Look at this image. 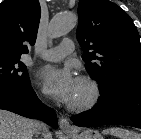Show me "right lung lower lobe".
Wrapping results in <instances>:
<instances>
[{"label": "right lung lower lobe", "mask_w": 141, "mask_h": 139, "mask_svg": "<svg viewBox=\"0 0 141 139\" xmlns=\"http://www.w3.org/2000/svg\"><path fill=\"white\" fill-rule=\"evenodd\" d=\"M0 109L42 120L53 128L58 127L55 111L41 103L31 85L0 88Z\"/></svg>", "instance_id": "obj_1"}]
</instances>
